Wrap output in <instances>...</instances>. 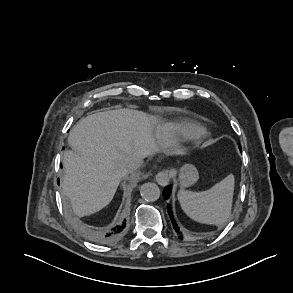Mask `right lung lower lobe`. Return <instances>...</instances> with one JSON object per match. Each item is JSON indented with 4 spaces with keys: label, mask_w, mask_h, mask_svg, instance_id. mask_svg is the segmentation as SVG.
Returning a JSON list of instances; mask_svg holds the SVG:
<instances>
[{
    "label": "right lung lower lobe",
    "mask_w": 293,
    "mask_h": 293,
    "mask_svg": "<svg viewBox=\"0 0 293 293\" xmlns=\"http://www.w3.org/2000/svg\"><path fill=\"white\" fill-rule=\"evenodd\" d=\"M126 222L123 221L121 224L115 226L110 232L101 234L98 236V240L102 243H112L122 237L125 232Z\"/></svg>",
    "instance_id": "obj_1"
}]
</instances>
